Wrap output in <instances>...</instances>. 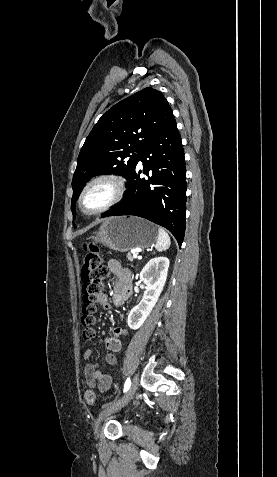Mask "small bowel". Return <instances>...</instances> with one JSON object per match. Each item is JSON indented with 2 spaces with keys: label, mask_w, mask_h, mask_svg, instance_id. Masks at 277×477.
Listing matches in <instances>:
<instances>
[{
  "label": "small bowel",
  "mask_w": 277,
  "mask_h": 477,
  "mask_svg": "<svg viewBox=\"0 0 277 477\" xmlns=\"http://www.w3.org/2000/svg\"><path fill=\"white\" fill-rule=\"evenodd\" d=\"M108 269L117 277L114 285L112 302L115 306L123 305L132 293L131 273L129 269L121 266L117 261L111 260L107 264ZM100 305L103 309L109 310L111 303L106 294L102 295ZM127 331L121 327L114 328L112 336L104 339L108 353L105 355V361L111 366L117 364L116 353L121 350L123 336ZM93 354L91 349L84 352L85 377L88 386L97 388L100 392H108L112 387V377L99 369V364L90 361Z\"/></svg>",
  "instance_id": "small-bowel-1"
}]
</instances>
